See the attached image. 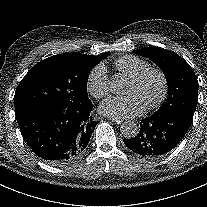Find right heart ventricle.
<instances>
[{"label":"right heart ventricle","mask_w":207,"mask_h":207,"mask_svg":"<svg viewBox=\"0 0 207 207\" xmlns=\"http://www.w3.org/2000/svg\"><path fill=\"white\" fill-rule=\"evenodd\" d=\"M115 67L123 75L131 79L149 68L150 64L139 57L127 55L116 60Z\"/></svg>","instance_id":"right-heart-ventricle-1"}]
</instances>
